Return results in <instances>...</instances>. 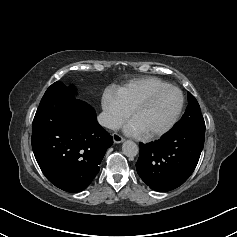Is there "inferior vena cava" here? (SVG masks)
I'll return each mask as SVG.
<instances>
[{
  "label": "inferior vena cava",
  "instance_id": "602c4592",
  "mask_svg": "<svg viewBox=\"0 0 237 237\" xmlns=\"http://www.w3.org/2000/svg\"><path fill=\"white\" fill-rule=\"evenodd\" d=\"M97 120H98V123L103 127H106L112 130L119 128L118 120L114 116L108 113H105V112L100 113L99 116L97 117Z\"/></svg>",
  "mask_w": 237,
  "mask_h": 237
}]
</instances>
